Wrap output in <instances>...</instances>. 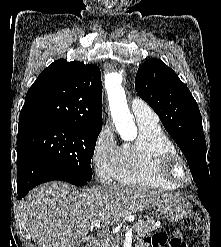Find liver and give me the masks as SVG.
Returning a JSON list of instances; mask_svg holds the SVG:
<instances>
[{"label":"liver","mask_w":221,"mask_h":247,"mask_svg":"<svg viewBox=\"0 0 221 247\" xmlns=\"http://www.w3.org/2000/svg\"><path fill=\"white\" fill-rule=\"evenodd\" d=\"M177 197L143 187L101 186L78 190L54 181L29 192L20 205L21 218L38 247H75L90 225H109Z\"/></svg>","instance_id":"obj_1"}]
</instances>
